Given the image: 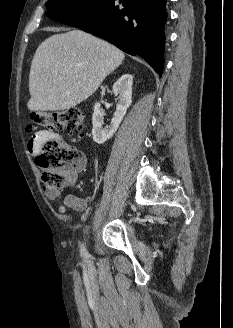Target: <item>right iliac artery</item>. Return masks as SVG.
Masks as SVG:
<instances>
[{
	"label": "right iliac artery",
	"mask_w": 233,
	"mask_h": 328,
	"mask_svg": "<svg viewBox=\"0 0 233 328\" xmlns=\"http://www.w3.org/2000/svg\"><path fill=\"white\" fill-rule=\"evenodd\" d=\"M80 254L85 259H88L90 257V255H89V253H88V251H87L84 243L81 245Z\"/></svg>",
	"instance_id": "82829eb1"
}]
</instances>
